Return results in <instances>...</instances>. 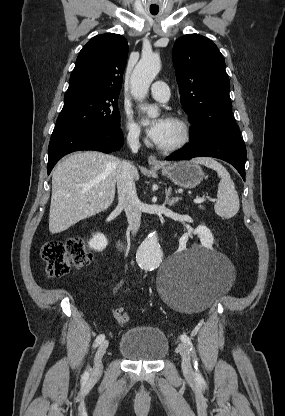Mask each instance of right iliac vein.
Wrapping results in <instances>:
<instances>
[{"label": "right iliac vein", "mask_w": 285, "mask_h": 416, "mask_svg": "<svg viewBox=\"0 0 285 416\" xmlns=\"http://www.w3.org/2000/svg\"><path fill=\"white\" fill-rule=\"evenodd\" d=\"M109 346V341H103L100 346L98 347L95 356H94V365L92 369V375L97 376L101 373L103 369V364L101 362L103 355L105 354L107 348Z\"/></svg>", "instance_id": "right-iliac-vein-1"}]
</instances>
